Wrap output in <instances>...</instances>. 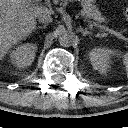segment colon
I'll list each match as a JSON object with an SVG mask.
<instances>
[{"mask_svg":"<svg viewBox=\"0 0 128 128\" xmlns=\"http://www.w3.org/2000/svg\"><path fill=\"white\" fill-rule=\"evenodd\" d=\"M124 15H125L126 19L128 20V5L124 9Z\"/></svg>","mask_w":128,"mask_h":128,"instance_id":"obj_1","label":"colon"}]
</instances>
